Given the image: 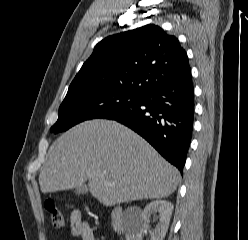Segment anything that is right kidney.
<instances>
[{"mask_svg":"<svg viewBox=\"0 0 248 240\" xmlns=\"http://www.w3.org/2000/svg\"><path fill=\"white\" fill-rule=\"evenodd\" d=\"M173 205L166 200H155L143 210L140 223L130 226L125 234L126 240H142V235L147 231L151 216L159 213V222L156 228L150 231L151 240H163L169 227Z\"/></svg>","mask_w":248,"mask_h":240,"instance_id":"obj_1","label":"right kidney"}]
</instances>
